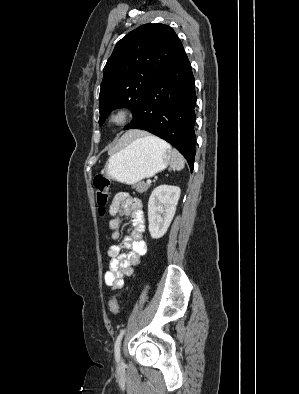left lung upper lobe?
<instances>
[{
	"mask_svg": "<svg viewBox=\"0 0 299 394\" xmlns=\"http://www.w3.org/2000/svg\"><path fill=\"white\" fill-rule=\"evenodd\" d=\"M183 50L174 30L160 23L142 25L118 41L103 70L99 124L118 107L134 115L151 84Z\"/></svg>",
	"mask_w": 299,
	"mask_h": 394,
	"instance_id": "5c2ea615",
	"label": "left lung upper lobe"
}]
</instances>
